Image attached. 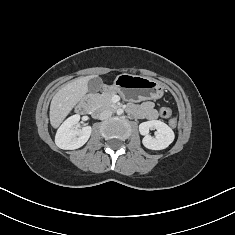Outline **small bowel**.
<instances>
[{"label": "small bowel", "instance_id": "c3829d8e", "mask_svg": "<svg viewBox=\"0 0 235 235\" xmlns=\"http://www.w3.org/2000/svg\"><path fill=\"white\" fill-rule=\"evenodd\" d=\"M134 113L136 116L147 120H153L157 117V112L154 109V105L150 101L144 102L136 106L134 108Z\"/></svg>", "mask_w": 235, "mask_h": 235}]
</instances>
